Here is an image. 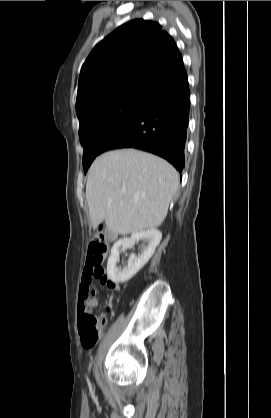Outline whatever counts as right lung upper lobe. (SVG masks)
<instances>
[{
	"label": "right lung upper lobe",
	"mask_w": 271,
	"mask_h": 418,
	"mask_svg": "<svg viewBox=\"0 0 271 418\" xmlns=\"http://www.w3.org/2000/svg\"><path fill=\"white\" fill-rule=\"evenodd\" d=\"M184 71L175 41L157 22L130 21L99 42L83 64L76 112L122 94L151 100Z\"/></svg>",
	"instance_id": "obj_1"
}]
</instances>
